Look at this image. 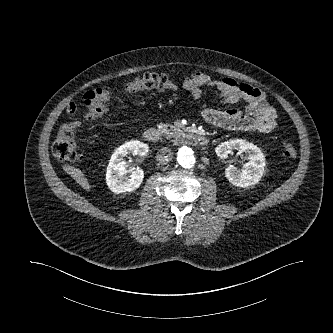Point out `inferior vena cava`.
<instances>
[{"mask_svg": "<svg viewBox=\"0 0 333 333\" xmlns=\"http://www.w3.org/2000/svg\"><path fill=\"white\" fill-rule=\"evenodd\" d=\"M173 157V152L169 148H162L156 154V159L158 162H168L171 161Z\"/></svg>", "mask_w": 333, "mask_h": 333, "instance_id": "1", "label": "inferior vena cava"}]
</instances>
